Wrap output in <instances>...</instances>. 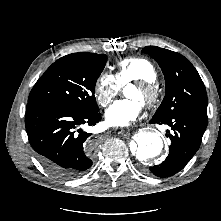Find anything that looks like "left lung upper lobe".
<instances>
[{
  "instance_id": "5c2ea615",
  "label": "left lung upper lobe",
  "mask_w": 221,
  "mask_h": 221,
  "mask_svg": "<svg viewBox=\"0 0 221 221\" xmlns=\"http://www.w3.org/2000/svg\"><path fill=\"white\" fill-rule=\"evenodd\" d=\"M154 58L163 71L166 94L153 119L164 120L179 113L207 118L205 85L194 66L181 54L147 46L142 50Z\"/></svg>"
}]
</instances>
